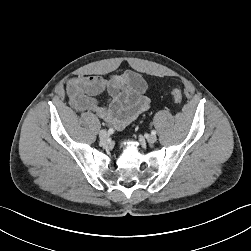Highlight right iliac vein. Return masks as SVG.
<instances>
[{
    "instance_id": "right-iliac-vein-1",
    "label": "right iliac vein",
    "mask_w": 251,
    "mask_h": 251,
    "mask_svg": "<svg viewBox=\"0 0 251 251\" xmlns=\"http://www.w3.org/2000/svg\"><path fill=\"white\" fill-rule=\"evenodd\" d=\"M99 138L101 141H106L109 138V133L106 130H101L99 132Z\"/></svg>"
}]
</instances>
